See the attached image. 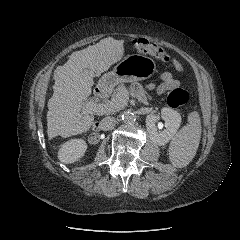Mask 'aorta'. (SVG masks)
I'll return each mask as SVG.
<instances>
[{
  "mask_svg": "<svg viewBox=\"0 0 240 240\" xmlns=\"http://www.w3.org/2000/svg\"><path fill=\"white\" fill-rule=\"evenodd\" d=\"M121 117L123 122L126 124H133L136 120L135 115L130 111H124Z\"/></svg>",
  "mask_w": 240,
  "mask_h": 240,
  "instance_id": "1",
  "label": "aorta"
}]
</instances>
